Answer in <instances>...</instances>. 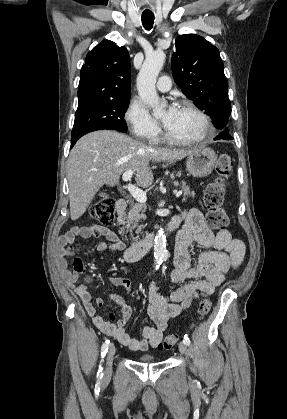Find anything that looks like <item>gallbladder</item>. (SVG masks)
<instances>
[{
    "label": "gallbladder",
    "mask_w": 287,
    "mask_h": 419,
    "mask_svg": "<svg viewBox=\"0 0 287 419\" xmlns=\"http://www.w3.org/2000/svg\"><path fill=\"white\" fill-rule=\"evenodd\" d=\"M106 194L105 193H100V196H105Z\"/></svg>",
    "instance_id": "gallbladder-1"
}]
</instances>
